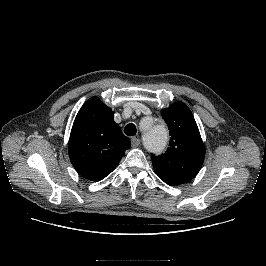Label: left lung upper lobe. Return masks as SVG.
Returning a JSON list of instances; mask_svg holds the SVG:
<instances>
[{"mask_svg":"<svg viewBox=\"0 0 266 266\" xmlns=\"http://www.w3.org/2000/svg\"><path fill=\"white\" fill-rule=\"evenodd\" d=\"M170 132V146L165 154L152 156L156 174L168 185L177 186L192 180L201 169L205 146L190 109L176 102L161 111Z\"/></svg>","mask_w":266,"mask_h":266,"instance_id":"5c2ea615","label":"left lung upper lobe"}]
</instances>
